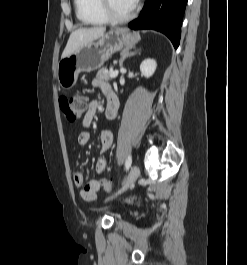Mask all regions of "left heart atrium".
<instances>
[{"label": "left heart atrium", "instance_id": "1", "mask_svg": "<svg viewBox=\"0 0 247 265\" xmlns=\"http://www.w3.org/2000/svg\"><path fill=\"white\" fill-rule=\"evenodd\" d=\"M128 1L134 6L138 0H128Z\"/></svg>", "mask_w": 247, "mask_h": 265}]
</instances>
